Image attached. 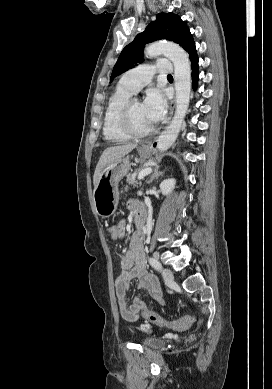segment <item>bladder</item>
I'll use <instances>...</instances> for the list:
<instances>
[{
	"label": "bladder",
	"mask_w": 272,
	"mask_h": 389,
	"mask_svg": "<svg viewBox=\"0 0 272 389\" xmlns=\"http://www.w3.org/2000/svg\"><path fill=\"white\" fill-rule=\"evenodd\" d=\"M142 345L148 348H161L164 345V341L160 338H146L142 341Z\"/></svg>",
	"instance_id": "31cf9c89"
}]
</instances>
